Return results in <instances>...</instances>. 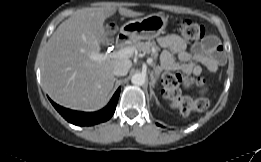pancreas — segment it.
<instances>
[{
  "label": "pancreas",
  "instance_id": "1",
  "mask_svg": "<svg viewBox=\"0 0 261 162\" xmlns=\"http://www.w3.org/2000/svg\"><path fill=\"white\" fill-rule=\"evenodd\" d=\"M132 46L135 47L138 51H142L144 53H148L152 55L153 60H157L158 52L160 48L156 45L155 41H133ZM151 66L155 67V63H152Z\"/></svg>",
  "mask_w": 261,
  "mask_h": 162
}]
</instances>
